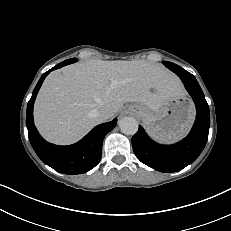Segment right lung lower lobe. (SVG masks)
Masks as SVG:
<instances>
[{"mask_svg":"<svg viewBox=\"0 0 231 231\" xmlns=\"http://www.w3.org/2000/svg\"><path fill=\"white\" fill-rule=\"evenodd\" d=\"M72 62L63 61L41 76L27 105L26 126L30 143L38 157L57 172L75 175L85 173L99 163L103 139L116 126L117 119L94 127L83 139L69 146L48 143L40 136L33 121V106L37 93L51 71Z\"/></svg>","mask_w":231,"mask_h":231,"instance_id":"1","label":"right lung lower lobe"}]
</instances>
